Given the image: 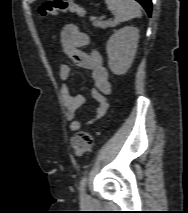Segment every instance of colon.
Listing matches in <instances>:
<instances>
[{
	"label": "colon",
	"instance_id": "colon-1",
	"mask_svg": "<svg viewBox=\"0 0 188 213\" xmlns=\"http://www.w3.org/2000/svg\"><path fill=\"white\" fill-rule=\"evenodd\" d=\"M61 12H72L84 16L86 11L73 0H45L38 7L41 17L56 15ZM93 144V135L86 131H78L71 140V146L75 154L84 155L88 153Z\"/></svg>",
	"mask_w": 188,
	"mask_h": 213
}]
</instances>
